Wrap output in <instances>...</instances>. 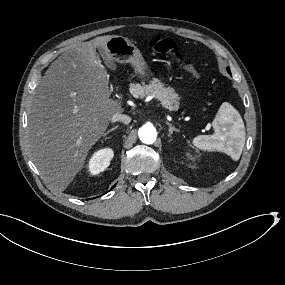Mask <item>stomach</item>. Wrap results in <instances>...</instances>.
Returning <instances> with one entry per match:
<instances>
[{
  "label": "stomach",
  "mask_w": 285,
  "mask_h": 285,
  "mask_svg": "<svg viewBox=\"0 0 285 285\" xmlns=\"http://www.w3.org/2000/svg\"><path fill=\"white\" fill-rule=\"evenodd\" d=\"M106 49L112 60L119 63H131L138 74L147 75L146 62L139 49L128 38L114 35L107 41Z\"/></svg>",
  "instance_id": "stomach-1"
}]
</instances>
